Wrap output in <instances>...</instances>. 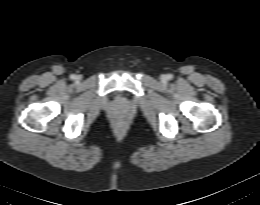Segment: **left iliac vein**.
<instances>
[{"label": "left iliac vein", "mask_w": 260, "mask_h": 205, "mask_svg": "<svg viewBox=\"0 0 260 205\" xmlns=\"http://www.w3.org/2000/svg\"><path fill=\"white\" fill-rule=\"evenodd\" d=\"M162 80L165 81L166 80V76H162Z\"/></svg>", "instance_id": "1"}]
</instances>
